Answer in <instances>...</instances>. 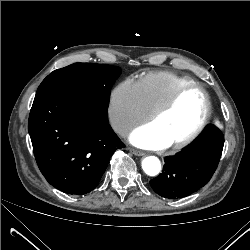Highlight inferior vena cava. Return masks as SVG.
Listing matches in <instances>:
<instances>
[{"instance_id": "1", "label": "inferior vena cava", "mask_w": 250, "mask_h": 250, "mask_svg": "<svg viewBox=\"0 0 250 250\" xmlns=\"http://www.w3.org/2000/svg\"><path fill=\"white\" fill-rule=\"evenodd\" d=\"M111 126L119 134H124L129 131L130 125L122 120H113Z\"/></svg>"}]
</instances>
